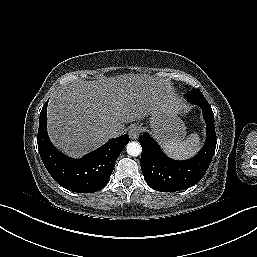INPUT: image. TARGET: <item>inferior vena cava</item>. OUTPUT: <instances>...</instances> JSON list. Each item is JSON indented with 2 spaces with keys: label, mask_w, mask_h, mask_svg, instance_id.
Segmentation results:
<instances>
[{
  "label": "inferior vena cava",
  "mask_w": 257,
  "mask_h": 257,
  "mask_svg": "<svg viewBox=\"0 0 257 257\" xmlns=\"http://www.w3.org/2000/svg\"><path fill=\"white\" fill-rule=\"evenodd\" d=\"M118 136V132L116 130H109L107 132V137L108 138H114Z\"/></svg>",
  "instance_id": "inferior-vena-cava-1"
}]
</instances>
